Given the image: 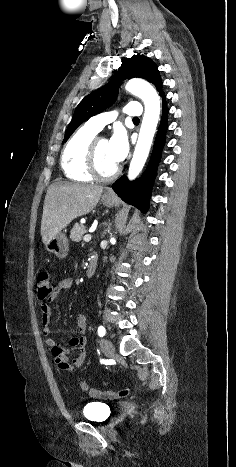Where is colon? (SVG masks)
Instances as JSON below:
<instances>
[{"label":"colon","instance_id":"1","mask_svg":"<svg viewBox=\"0 0 236 467\" xmlns=\"http://www.w3.org/2000/svg\"><path fill=\"white\" fill-rule=\"evenodd\" d=\"M37 298L40 302H44L50 298L53 292L52 279L47 272H41L37 280ZM85 391L91 395L107 399L124 398L130 394L129 388H124L118 391H96L89 387L85 382L81 384Z\"/></svg>","mask_w":236,"mask_h":467}]
</instances>
